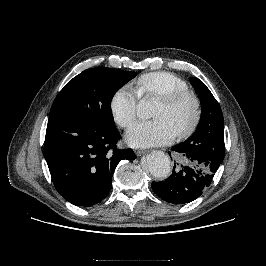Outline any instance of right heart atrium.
<instances>
[{"instance_id": "1", "label": "right heart atrium", "mask_w": 266, "mask_h": 266, "mask_svg": "<svg viewBox=\"0 0 266 266\" xmlns=\"http://www.w3.org/2000/svg\"><path fill=\"white\" fill-rule=\"evenodd\" d=\"M139 95L129 86L119 88L112 96L110 108L116 123L126 128L137 116Z\"/></svg>"}]
</instances>
